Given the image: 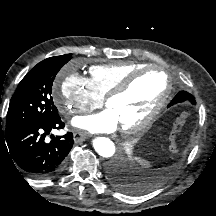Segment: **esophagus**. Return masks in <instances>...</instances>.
Instances as JSON below:
<instances>
[{"instance_id":"obj_1","label":"esophagus","mask_w":216,"mask_h":216,"mask_svg":"<svg viewBox=\"0 0 216 216\" xmlns=\"http://www.w3.org/2000/svg\"><path fill=\"white\" fill-rule=\"evenodd\" d=\"M87 137V134L83 131H76L74 132V140L75 141H84Z\"/></svg>"}]
</instances>
